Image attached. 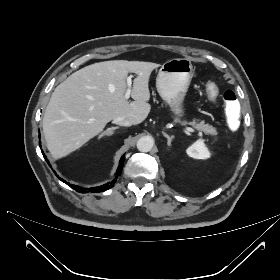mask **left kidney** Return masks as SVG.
<instances>
[{"label": "left kidney", "mask_w": 280, "mask_h": 280, "mask_svg": "<svg viewBox=\"0 0 280 280\" xmlns=\"http://www.w3.org/2000/svg\"><path fill=\"white\" fill-rule=\"evenodd\" d=\"M186 153L194 159H207L210 157V152L201 139L189 146Z\"/></svg>", "instance_id": "left-kidney-1"}]
</instances>
